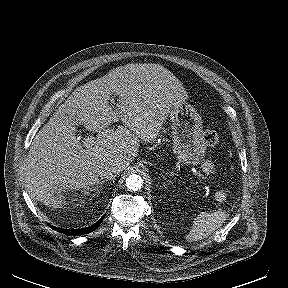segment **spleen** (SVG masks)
Segmentation results:
<instances>
[{
	"instance_id": "spleen-1",
	"label": "spleen",
	"mask_w": 288,
	"mask_h": 288,
	"mask_svg": "<svg viewBox=\"0 0 288 288\" xmlns=\"http://www.w3.org/2000/svg\"><path fill=\"white\" fill-rule=\"evenodd\" d=\"M225 220L226 214L222 211H215L211 213L201 212L194 219L193 225L185 238L188 242H194L207 238L216 229H218Z\"/></svg>"
}]
</instances>
